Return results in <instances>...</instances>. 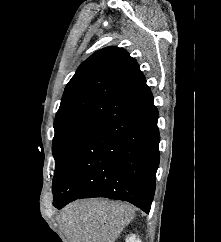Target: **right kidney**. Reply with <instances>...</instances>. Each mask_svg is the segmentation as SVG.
<instances>
[{
	"label": "right kidney",
	"mask_w": 221,
	"mask_h": 242,
	"mask_svg": "<svg viewBox=\"0 0 221 242\" xmlns=\"http://www.w3.org/2000/svg\"><path fill=\"white\" fill-rule=\"evenodd\" d=\"M135 235L131 234L130 236L127 237L126 242H136L135 241Z\"/></svg>",
	"instance_id": "right-kidney-1"
}]
</instances>
